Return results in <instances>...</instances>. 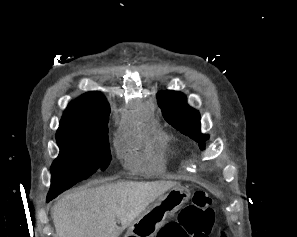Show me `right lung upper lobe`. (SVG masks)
<instances>
[{"label":"right lung upper lobe","instance_id":"cb5924a9","mask_svg":"<svg viewBox=\"0 0 297 237\" xmlns=\"http://www.w3.org/2000/svg\"><path fill=\"white\" fill-rule=\"evenodd\" d=\"M110 107L99 92H88L69 103L59 128H100L108 125Z\"/></svg>","mask_w":297,"mask_h":237}]
</instances>
